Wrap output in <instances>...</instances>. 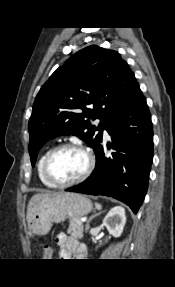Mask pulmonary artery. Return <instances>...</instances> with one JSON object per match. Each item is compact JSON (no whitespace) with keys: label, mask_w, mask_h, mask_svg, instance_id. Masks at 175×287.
Here are the masks:
<instances>
[{"label":"pulmonary artery","mask_w":175,"mask_h":287,"mask_svg":"<svg viewBox=\"0 0 175 287\" xmlns=\"http://www.w3.org/2000/svg\"><path fill=\"white\" fill-rule=\"evenodd\" d=\"M104 133H105V135H107V132H106V131H104Z\"/></svg>","instance_id":"obj_1"}]
</instances>
